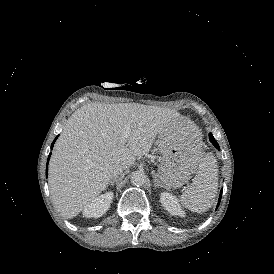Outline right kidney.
<instances>
[{"label":"right kidney","mask_w":274,"mask_h":274,"mask_svg":"<svg viewBox=\"0 0 274 274\" xmlns=\"http://www.w3.org/2000/svg\"><path fill=\"white\" fill-rule=\"evenodd\" d=\"M113 199L112 193H105L100 197L94 198L84 209L83 216L85 217H100L110 207Z\"/></svg>","instance_id":"1"}]
</instances>
